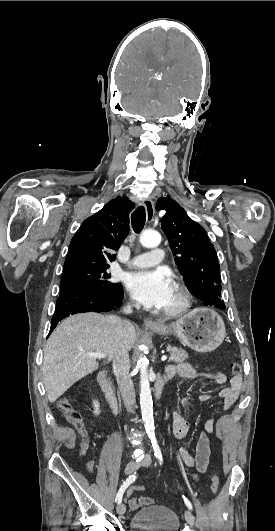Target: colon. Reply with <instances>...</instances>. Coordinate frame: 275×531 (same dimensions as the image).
<instances>
[{
    "label": "colon",
    "instance_id": "5ec220e1",
    "mask_svg": "<svg viewBox=\"0 0 275 531\" xmlns=\"http://www.w3.org/2000/svg\"><path fill=\"white\" fill-rule=\"evenodd\" d=\"M232 371L234 373H240L241 372V364L239 362H234L232 364ZM58 408L64 414V416L67 418V420L73 426L76 427V429L79 432V434L83 438H86L87 431H86V427H85L83 414L79 410L75 409L72 405H70L66 401H60L58 403ZM218 485H219L218 476L216 474H214L211 477V483H210V489H211V491L213 493L217 492ZM134 488H135L134 493H145V488H143V485H137V486H134Z\"/></svg>",
    "mask_w": 275,
    "mask_h": 531
}]
</instances>
